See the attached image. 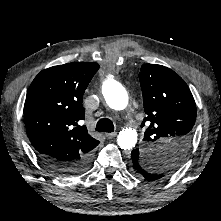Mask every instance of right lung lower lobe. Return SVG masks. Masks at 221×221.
Wrapping results in <instances>:
<instances>
[{"instance_id": "right-lung-lower-lobe-1", "label": "right lung lower lobe", "mask_w": 221, "mask_h": 221, "mask_svg": "<svg viewBox=\"0 0 221 221\" xmlns=\"http://www.w3.org/2000/svg\"><path fill=\"white\" fill-rule=\"evenodd\" d=\"M44 165L53 173L60 176L78 175L89 168L91 165V156L75 162H62L47 157L39 156Z\"/></svg>"}]
</instances>
